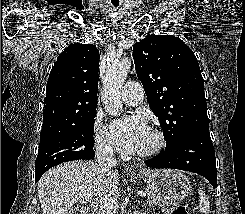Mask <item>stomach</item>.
I'll return each mask as SVG.
<instances>
[{
	"label": "stomach",
	"instance_id": "stomach-1",
	"mask_svg": "<svg viewBox=\"0 0 245 214\" xmlns=\"http://www.w3.org/2000/svg\"><path fill=\"white\" fill-rule=\"evenodd\" d=\"M139 176L151 191L170 202L183 200L191 191L189 179L179 170L145 169Z\"/></svg>",
	"mask_w": 245,
	"mask_h": 214
}]
</instances>
